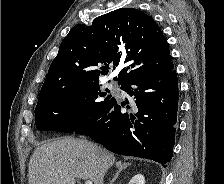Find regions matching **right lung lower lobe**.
<instances>
[{"label": "right lung lower lobe", "mask_w": 224, "mask_h": 184, "mask_svg": "<svg viewBox=\"0 0 224 184\" xmlns=\"http://www.w3.org/2000/svg\"><path fill=\"white\" fill-rule=\"evenodd\" d=\"M121 88L134 97L133 113L123 112L126 103L115 100L96 120L74 133L88 135L116 154L147 158L165 166L172 158L177 122L174 66L132 78Z\"/></svg>", "instance_id": "98d812e1"}]
</instances>
